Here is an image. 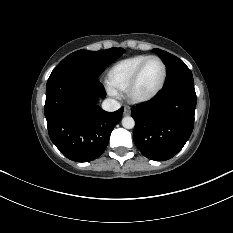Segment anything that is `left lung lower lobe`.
Segmentation results:
<instances>
[{
	"label": "left lung lower lobe",
	"instance_id": "0a47b994",
	"mask_svg": "<svg viewBox=\"0 0 233 233\" xmlns=\"http://www.w3.org/2000/svg\"><path fill=\"white\" fill-rule=\"evenodd\" d=\"M195 108L194 82L164 87L154 98L132 109L135 145L151 160L172 158L192 133Z\"/></svg>",
	"mask_w": 233,
	"mask_h": 233
}]
</instances>
